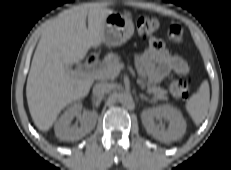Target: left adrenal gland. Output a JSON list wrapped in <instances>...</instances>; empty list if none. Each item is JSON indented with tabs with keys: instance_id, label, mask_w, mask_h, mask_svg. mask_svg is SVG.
Wrapping results in <instances>:
<instances>
[{
	"instance_id": "a2214340",
	"label": "left adrenal gland",
	"mask_w": 231,
	"mask_h": 170,
	"mask_svg": "<svg viewBox=\"0 0 231 170\" xmlns=\"http://www.w3.org/2000/svg\"><path fill=\"white\" fill-rule=\"evenodd\" d=\"M142 100L150 101L145 95L140 94L139 95Z\"/></svg>"
}]
</instances>
